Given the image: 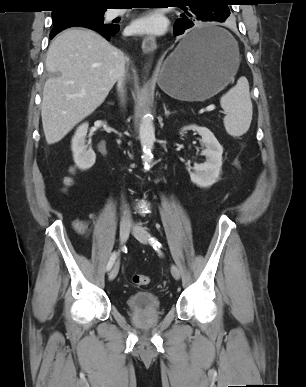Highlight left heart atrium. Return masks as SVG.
<instances>
[{
	"instance_id": "left-heart-atrium-1",
	"label": "left heart atrium",
	"mask_w": 306,
	"mask_h": 387,
	"mask_svg": "<svg viewBox=\"0 0 306 387\" xmlns=\"http://www.w3.org/2000/svg\"><path fill=\"white\" fill-rule=\"evenodd\" d=\"M165 28L164 20L161 16L150 14L134 20L130 30L134 33H161Z\"/></svg>"
}]
</instances>
